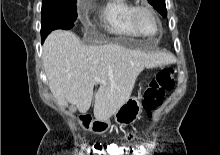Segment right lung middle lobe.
Instances as JSON below:
<instances>
[{
  "label": "right lung middle lobe",
  "instance_id": "obj_1",
  "mask_svg": "<svg viewBox=\"0 0 220 155\" xmlns=\"http://www.w3.org/2000/svg\"><path fill=\"white\" fill-rule=\"evenodd\" d=\"M76 17V0H43L41 11L42 42L52 30L71 29Z\"/></svg>",
  "mask_w": 220,
  "mask_h": 155
}]
</instances>
